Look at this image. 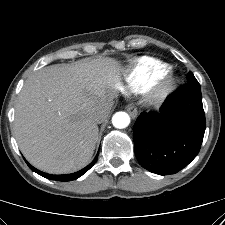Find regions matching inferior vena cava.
Returning a JSON list of instances; mask_svg holds the SVG:
<instances>
[{
	"instance_id": "1",
	"label": "inferior vena cava",
	"mask_w": 225,
	"mask_h": 225,
	"mask_svg": "<svg viewBox=\"0 0 225 225\" xmlns=\"http://www.w3.org/2000/svg\"><path fill=\"white\" fill-rule=\"evenodd\" d=\"M112 104L113 103L110 102L94 113L93 119L96 123H102L107 119V117L110 113Z\"/></svg>"
}]
</instances>
